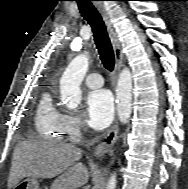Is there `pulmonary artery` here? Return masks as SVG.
Instances as JSON below:
<instances>
[{
  "instance_id": "1",
  "label": "pulmonary artery",
  "mask_w": 188,
  "mask_h": 189,
  "mask_svg": "<svg viewBox=\"0 0 188 189\" xmlns=\"http://www.w3.org/2000/svg\"><path fill=\"white\" fill-rule=\"evenodd\" d=\"M84 82L90 88H99L103 85V78L98 73H90L85 77Z\"/></svg>"
}]
</instances>
